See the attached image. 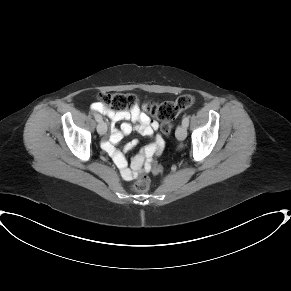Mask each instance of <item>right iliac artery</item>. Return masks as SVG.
<instances>
[{
	"mask_svg": "<svg viewBox=\"0 0 291 291\" xmlns=\"http://www.w3.org/2000/svg\"><path fill=\"white\" fill-rule=\"evenodd\" d=\"M94 117H95V119H96L97 122H101L102 121V116L101 115L95 113L94 114Z\"/></svg>",
	"mask_w": 291,
	"mask_h": 291,
	"instance_id": "right-iliac-artery-1",
	"label": "right iliac artery"
}]
</instances>
